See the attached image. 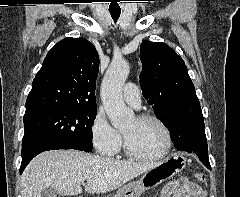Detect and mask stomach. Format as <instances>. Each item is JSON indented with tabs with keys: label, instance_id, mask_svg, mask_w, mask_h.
<instances>
[{
	"label": "stomach",
	"instance_id": "1",
	"mask_svg": "<svg viewBox=\"0 0 240 197\" xmlns=\"http://www.w3.org/2000/svg\"><path fill=\"white\" fill-rule=\"evenodd\" d=\"M186 165V158L180 154H172L156 167L146 171L136 181L122 186L113 197H140L142 193L157 187L163 181L172 178Z\"/></svg>",
	"mask_w": 240,
	"mask_h": 197
}]
</instances>
